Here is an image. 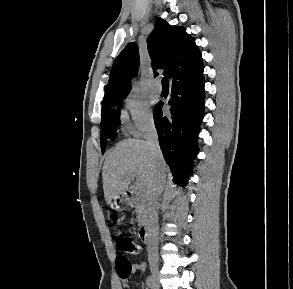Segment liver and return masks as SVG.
I'll return each instance as SVG.
<instances>
[{
    "label": "liver",
    "instance_id": "liver-1",
    "mask_svg": "<svg viewBox=\"0 0 293 289\" xmlns=\"http://www.w3.org/2000/svg\"><path fill=\"white\" fill-rule=\"evenodd\" d=\"M160 170L166 176L167 165L162 157L152 154L146 141L126 139L119 142L107 155L102 170L104 197L111 203L117 195L124 193L132 177L138 178L142 189L148 190Z\"/></svg>",
    "mask_w": 293,
    "mask_h": 289
}]
</instances>
